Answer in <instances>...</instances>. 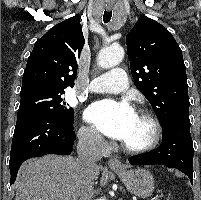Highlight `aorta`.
Returning a JSON list of instances; mask_svg holds the SVG:
<instances>
[{
  "instance_id": "aorta-1",
  "label": "aorta",
  "mask_w": 201,
  "mask_h": 200,
  "mask_svg": "<svg viewBox=\"0 0 201 200\" xmlns=\"http://www.w3.org/2000/svg\"><path fill=\"white\" fill-rule=\"evenodd\" d=\"M124 49L120 46H111L103 48L98 54V65L101 68H112L118 65L124 58ZM99 200H106L101 198Z\"/></svg>"
}]
</instances>
